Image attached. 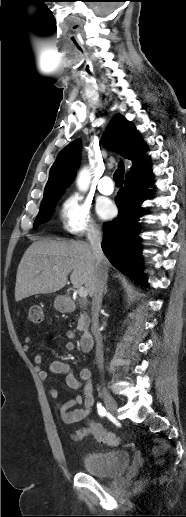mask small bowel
<instances>
[{"instance_id": "1", "label": "small bowel", "mask_w": 186, "mask_h": 517, "mask_svg": "<svg viewBox=\"0 0 186 517\" xmlns=\"http://www.w3.org/2000/svg\"><path fill=\"white\" fill-rule=\"evenodd\" d=\"M68 340L64 343V348L67 351L75 349L73 332L68 331L66 333ZM33 341L31 335H27L24 339V350L30 351V344ZM34 363L37 368L38 374L41 378L46 379L50 373L63 374L65 376L66 385L73 390L83 389L82 394H77L65 403L59 402V391L55 388H51L49 393L51 398L56 403V408L60 415L61 420L65 424H75L84 421L91 413L94 407V396H93V385H92V373L89 368H82L79 371V376L76 377L73 373L71 366L64 362L55 360L49 363L47 368L43 367L44 357L40 354L34 356ZM81 405L80 408H75ZM104 430L101 425L88 421L85 426L76 430L71 434V439L74 441H81L86 437L94 436L98 440L99 430Z\"/></svg>"}]
</instances>
